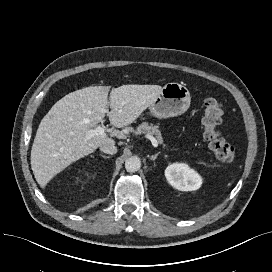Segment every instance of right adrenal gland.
Returning a JSON list of instances; mask_svg holds the SVG:
<instances>
[{
    "mask_svg": "<svg viewBox=\"0 0 272 272\" xmlns=\"http://www.w3.org/2000/svg\"><path fill=\"white\" fill-rule=\"evenodd\" d=\"M100 156L103 157V158H105V159H109L110 158V156H105L103 154H100Z\"/></svg>",
    "mask_w": 272,
    "mask_h": 272,
    "instance_id": "1",
    "label": "right adrenal gland"
}]
</instances>
